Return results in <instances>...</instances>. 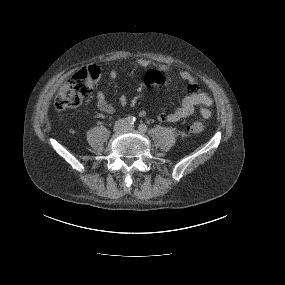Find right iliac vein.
Instances as JSON below:
<instances>
[{"instance_id": "obj_1", "label": "right iliac vein", "mask_w": 285, "mask_h": 285, "mask_svg": "<svg viewBox=\"0 0 285 285\" xmlns=\"http://www.w3.org/2000/svg\"><path fill=\"white\" fill-rule=\"evenodd\" d=\"M126 126H127V123L124 120H119L116 122L114 129H115V131L120 132V131L124 130L126 128Z\"/></svg>"}]
</instances>
